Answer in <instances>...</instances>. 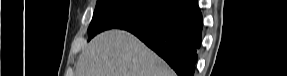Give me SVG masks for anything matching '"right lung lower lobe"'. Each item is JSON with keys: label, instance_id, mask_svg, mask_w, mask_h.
Here are the masks:
<instances>
[{"label": "right lung lower lobe", "instance_id": "obj_1", "mask_svg": "<svg viewBox=\"0 0 287 76\" xmlns=\"http://www.w3.org/2000/svg\"><path fill=\"white\" fill-rule=\"evenodd\" d=\"M201 30L197 0H176L149 23L127 31L161 56L178 76H193Z\"/></svg>", "mask_w": 287, "mask_h": 76}]
</instances>
